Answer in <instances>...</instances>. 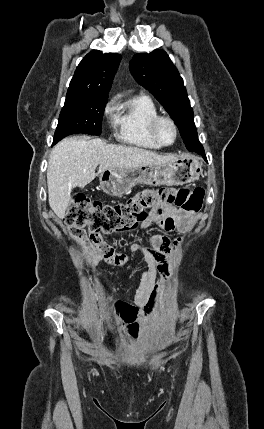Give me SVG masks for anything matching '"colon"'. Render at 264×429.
Here are the masks:
<instances>
[{"mask_svg": "<svg viewBox=\"0 0 264 429\" xmlns=\"http://www.w3.org/2000/svg\"><path fill=\"white\" fill-rule=\"evenodd\" d=\"M204 195L201 187H161L140 191L122 203L105 204L84 194H76L65 222L71 233L85 232L95 239L102 234L135 229L153 210L164 204H175L186 214L195 215L202 208ZM112 312L127 325L134 319L129 304H116Z\"/></svg>", "mask_w": 264, "mask_h": 429, "instance_id": "5ec220e1", "label": "colon"}]
</instances>
